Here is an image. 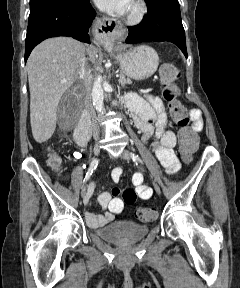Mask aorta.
<instances>
[{
	"label": "aorta",
	"mask_w": 240,
	"mask_h": 288,
	"mask_svg": "<svg viewBox=\"0 0 240 288\" xmlns=\"http://www.w3.org/2000/svg\"><path fill=\"white\" fill-rule=\"evenodd\" d=\"M92 101H93V105L95 106L96 110L98 113H103V109H104V103H103V99H104V95H103V88H102V78L98 77L94 84H93V88H92Z\"/></svg>",
	"instance_id": "762f6f07"
}]
</instances>
